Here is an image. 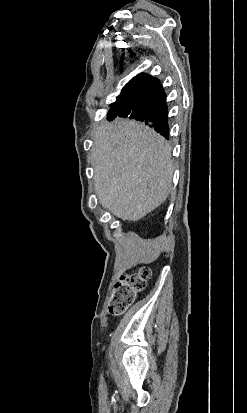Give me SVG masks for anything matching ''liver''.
Wrapping results in <instances>:
<instances>
[{
  "mask_svg": "<svg viewBox=\"0 0 247 413\" xmlns=\"http://www.w3.org/2000/svg\"><path fill=\"white\" fill-rule=\"evenodd\" d=\"M91 160L101 207L124 221L143 219L171 192V146L144 122H106L94 134Z\"/></svg>",
  "mask_w": 247,
  "mask_h": 413,
  "instance_id": "6515ba94",
  "label": "liver"
}]
</instances>
